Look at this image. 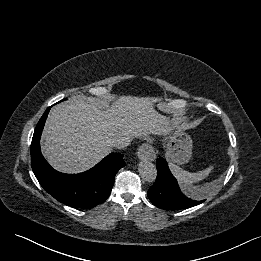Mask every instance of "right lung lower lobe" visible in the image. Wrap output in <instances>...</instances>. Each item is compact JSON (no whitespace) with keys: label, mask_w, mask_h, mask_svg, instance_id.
<instances>
[{"label":"right lung lower lobe","mask_w":261,"mask_h":261,"mask_svg":"<svg viewBox=\"0 0 261 261\" xmlns=\"http://www.w3.org/2000/svg\"><path fill=\"white\" fill-rule=\"evenodd\" d=\"M50 108H47L42 115L33 134L32 170L40 185L59 202L75 208L94 207L109 196L116 173L126 165L123 155L110 154L95 167L79 174H64L55 171L42 156L39 143Z\"/></svg>","instance_id":"right-lung-lower-lobe-1"}]
</instances>
